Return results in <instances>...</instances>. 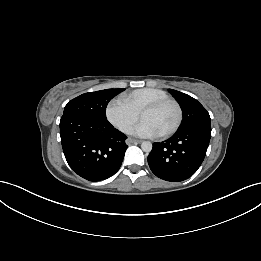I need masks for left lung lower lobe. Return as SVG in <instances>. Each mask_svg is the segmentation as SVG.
<instances>
[{"label":"left lung lower lobe","instance_id":"0a47b994","mask_svg":"<svg viewBox=\"0 0 261 261\" xmlns=\"http://www.w3.org/2000/svg\"><path fill=\"white\" fill-rule=\"evenodd\" d=\"M210 138L211 125L208 123L179 129L168 140L153 144L148 156L151 171L166 181L188 179L203 162Z\"/></svg>","mask_w":261,"mask_h":261}]
</instances>
